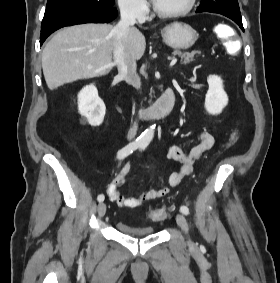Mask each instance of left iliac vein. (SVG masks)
<instances>
[{
	"label": "left iliac vein",
	"mask_w": 280,
	"mask_h": 283,
	"mask_svg": "<svg viewBox=\"0 0 280 283\" xmlns=\"http://www.w3.org/2000/svg\"><path fill=\"white\" fill-rule=\"evenodd\" d=\"M176 221H177V224L180 226V228L186 234H188V231H189L188 223H187L185 217L181 213H178L176 215ZM188 243H189V245H192V241L190 239L188 240Z\"/></svg>",
	"instance_id": "obj_1"
}]
</instances>
